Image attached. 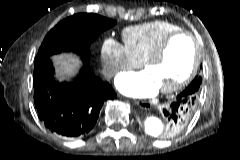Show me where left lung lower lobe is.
<instances>
[{
  "label": "left lung lower lobe",
  "instance_id": "obj_1",
  "mask_svg": "<svg viewBox=\"0 0 240 160\" xmlns=\"http://www.w3.org/2000/svg\"><path fill=\"white\" fill-rule=\"evenodd\" d=\"M198 99L196 84H190L176 99L163 109L164 115L173 128L182 125L186 121L183 113L193 114ZM168 131V129H167ZM175 134V133H174Z\"/></svg>",
  "mask_w": 240,
  "mask_h": 160
}]
</instances>
